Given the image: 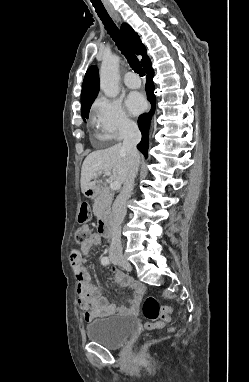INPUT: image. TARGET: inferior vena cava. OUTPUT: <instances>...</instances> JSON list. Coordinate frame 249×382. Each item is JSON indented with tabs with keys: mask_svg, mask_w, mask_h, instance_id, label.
I'll use <instances>...</instances> for the list:
<instances>
[{
	"mask_svg": "<svg viewBox=\"0 0 249 382\" xmlns=\"http://www.w3.org/2000/svg\"><path fill=\"white\" fill-rule=\"evenodd\" d=\"M141 140V132L135 123H128L125 127L123 148L129 157V170L124 181L123 188L116 198L112 207V240L109 248L110 258L122 256L121 245V224L126 215V203L131 197L134 188V181L138 173L140 156L137 150V144Z\"/></svg>",
	"mask_w": 249,
	"mask_h": 382,
	"instance_id": "602c4592",
	"label": "inferior vena cava"
}]
</instances>
